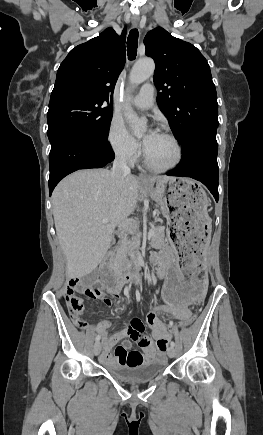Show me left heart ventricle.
<instances>
[{
  "label": "left heart ventricle",
  "instance_id": "left-heart-ventricle-1",
  "mask_svg": "<svg viewBox=\"0 0 263 435\" xmlns=\"http://www.w3.org/2000/svg\"><path fill=\"white\" fill-rule=\"evenodd\" d=\"M150 161L157 166L171 164L176 158V148L167 137L157 134L146 149Z\"/></svg>",
  "mask_w": 263,
  "mask_h": 435
}]
</instances>
